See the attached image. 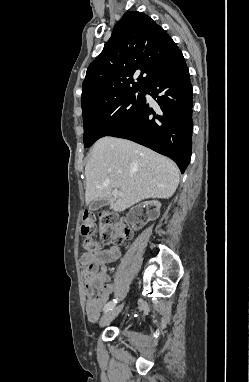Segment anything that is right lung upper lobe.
Instances as JSON below:
<instances>
[{
    "label": "right lung upper lobe",
    "instance_id": "1",
    "mask_svg": "<svg viewBox=\"0 0 249 382\" xmlns=\"http://www.w3.org/2000/svg\"><path fill=\"white\" fill-rule=\"evenodd\" d=\"M182 58L174 41L149 16L126 12L87 69L82 85V108L134 89H144L156 74ZM137 73L140 75L134 82Z\"/></svg>",
    "mask_w": 249,
    "mask_h": 382
}]
</instances>
